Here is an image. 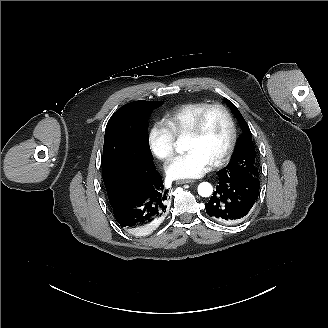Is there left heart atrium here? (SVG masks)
I'll return each mask as SVG.
<instances>
[{
	"instance_id": "obj_1",
	"label": "left heart atrium",
	"mask_w": 328,
	"mask_h": 328,
	"mask_svg": "<svg viewBox=\"0 0 328 328\" xmlns=\"http://www.w3.org/2000/svg\"><path fill=\"white\" fill-rule=\"evenodd\" d=\"M211 167V160L199 150L193 149L166 162L165 171L174 179H194L203 176Z\"/></svg>"
}]
</instances>
